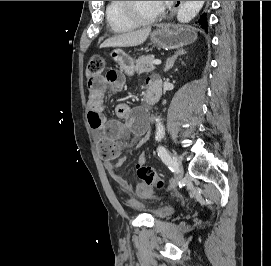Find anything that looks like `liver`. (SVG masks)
Segmentation results:
<instances>
[{"label": "liver", "instance_id": "6515ba94", "mask_svg": "<svg viewBox=\"0 0 271 266\" xmlns=\"http://www.w3.org/2000/svg\"><path fill=\"white\" fill-rule=\"evenodd\" d=\"M150 32H151V28L147 27L140 30L119 34V35L106 39L101 44L100 47L105 48V47L139 46L146 41Z\"/></svg>", "mask_w": 271, "mask_h": 266}]
</instances>
